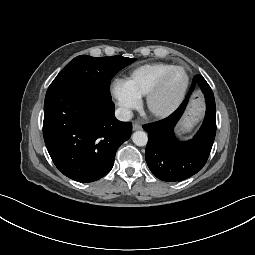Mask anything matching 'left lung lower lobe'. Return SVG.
Listing matches in <instances>:
<instances>
[{"label": "left lung lower lobe", "instance_id": "0a47b994", "mask_svg": "<svg viewBox=\"0 0 255 255\" xmlns=\"http://www.w3.org/2000/svg\"><path fill=\"white\" fill-rule=\"evenodd\" d=\"M199 85L206 99L204 122L192 140L180 142L174 127L183 114L188 97ZM148 132L145 158L151 172L160 180L182 181L199 172L210 154L216 134V107L213 92L201 75L193 78L190 91L180 107L169 117L143 126Z\"/></svg>", "mask_w": 255, "mask_h": 255}]
</instances>
